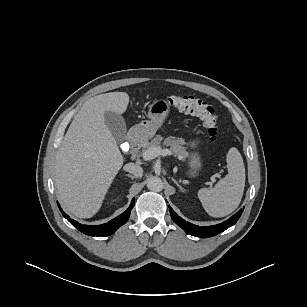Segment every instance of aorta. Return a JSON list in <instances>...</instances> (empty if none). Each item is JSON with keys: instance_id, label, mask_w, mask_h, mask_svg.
<instances>
[{"instance_id": "1", "label": "aorta", "mask_w": 307, "mask_h": 307, "mask_svg": "<svg viewBox=\"0 0 307 307\" xmlns=\"http://www.w3.org/2000/svg\"><path fill=\"white\" fill-rule=\"evenodd\" d=\"M147 187L151 191L160 192L163 190L164 185L159 177L153 176L147 180Z\"/></svg>"}]
</instances>
